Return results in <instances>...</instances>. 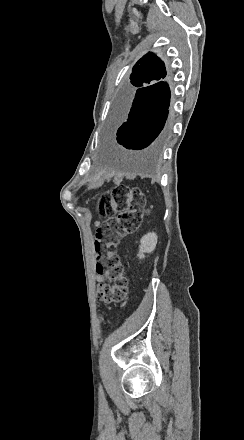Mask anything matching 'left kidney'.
<instances>
[{
  "instance_id": "left-kidney-1",
  "label": "left kidney",
  "mask_w": 244,
  "mask_h": 440,
  "mask_svg": "<svg viewBox=\"0 0 244 440\" xmlns=\"http://www.w3.org/2000/svg\"><path fill=\"white\" fill-rule=\"evenodd\" d=\"M156 244L157 234H154V232H149V234L143 236L140 240L139 252L137 254L138 258L142 260V258H145L144 254H150V252H153L156 248Z\"/></svg>"
}]
</instances>
